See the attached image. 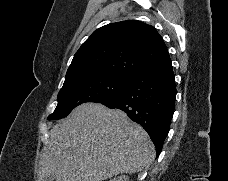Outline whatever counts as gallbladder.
<instances>
[{"mask_svg": "<svg viewBox=\"0 0 228 181\" xmlns=\"http://www.w3.org/2000/svg\"><path fill=\"white\" fill-rule=\"evenodd\" d=\"M44 181H55V175H49V177H45Z\"/></svg>", "mask_w": 228, "mask_h": 181, "instance_id": "bac80fb5", "label": "gallbladder"}]
</instances>
